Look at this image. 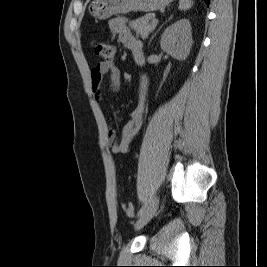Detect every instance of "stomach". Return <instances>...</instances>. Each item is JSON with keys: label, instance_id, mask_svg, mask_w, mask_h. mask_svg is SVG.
I'll return each mask as SVG.
<instances>
[{"label": "stomach", "instance_id": "obj_1", "mask_svg": "<svg viewBox=\"0 0 267 267\" xmlns=\"http://www.w3.org/2000/svg\"><path fill=\"white\" fill-rule=\"evenodd\" d=\"M173 0H94L89 5V13L105 20L113 15L130 11L153 12L164 9Z\"/></svg>", "mask_w": 267, "mask_h": 267}]
</instances>
